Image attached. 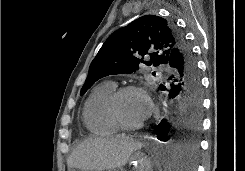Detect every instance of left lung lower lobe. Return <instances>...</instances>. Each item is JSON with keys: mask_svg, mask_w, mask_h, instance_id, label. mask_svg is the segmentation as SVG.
<instances>
[{"mask_svg": "<svg viewBox=\"0 0 245 171\" xmlns=\"http://www.w3.org/2000/svg\"><path fill=\"white\" fill-rule=\"evenodd\" d=\"M168 65L173 68L174 74L168 78L166 86L160 85V89L168 91L169 98L174 99L175 114L168 120L163 119L155 128V133L161 141L173 140L178 156L174 158L177 167H194L198 139L193 135H181L177 138L167 136L169 130L178 125L190 129H197L200 125L202 110L200 76L188 43L170 56Z\"/></svg>", "mask_w": 245, "mask_h": 171, "instance_id": "obj_1", "label": "left lung lower lobe"}]
</instances>
